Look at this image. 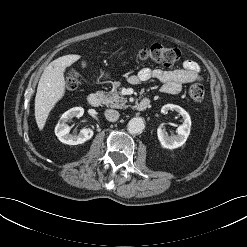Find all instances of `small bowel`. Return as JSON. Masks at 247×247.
Segmentation results:
<instances>
[{"label":"small bowel","instance_id":"c3829d8e","mask_svg":"<svg viewBox=\"0 0 247 247\" xmlns=\"http://www.w3.org/2000/svg\"><path fill=\"white\" fill-rule=\"evenodd\" d=\"M152 78L163 83L161 90L167 94H177L184 84L202 80L199 64L193 60H186L182 68L175 70L143 68L137 74L130 76L129 82L137 85Z\"/></svg>","mask_w":247,"mask_h":247}]
</instances>
